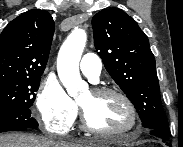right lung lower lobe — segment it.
<instances>
[{
    "label": "right lung lower lobe",
    "mask_w": 183,
    "mask_h": 147,
    "mask_svg": "<svg viewBox=\"0 0 183 147\" xmlns=\"http://www.w3.org/2000/svg\"><path fill=\"white\" fill-rule=\"evenodd\" d=\"M37 121L31 116L29 108L18 107L0 110V133L36 129Z\"/></svg>",
    "instance_id": "1"
}]
</instances>
